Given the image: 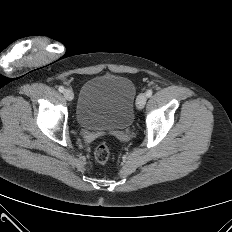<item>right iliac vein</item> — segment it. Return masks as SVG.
<instances>
[{
    "mask_svg": "<svg viewBox=\"0 0 232 232\" xmlns=\"http://www.w3.org/2000/svg\"><path fill=\"white\" fill-rule=\"evenodd\" d=\"M64 97L68 100V101H71V100H73V98H74V93H73V91L72 90H70V89H66L65 91H64Z\"/></svg>",
    "mask_w": 232,
    "mask_h": 232,
    "instance_id": "obj_1",
    "label": "right iliac vein"
}]
</instances>
